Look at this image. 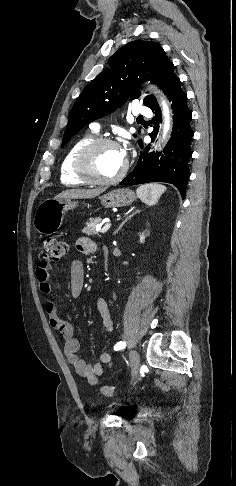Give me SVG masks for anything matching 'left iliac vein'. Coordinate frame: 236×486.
Returning a JSON list of instances; mask_svg holds the SVG:
<instances>
[{"instance_id": "4c4485c4", "label": "left iliac vein", "mask_w": 236, "mask_h": 486, "mask_svg": "<svg viewBox=\"0 0 236 486\" xmlns=\"http://www.w3.org/2000/svg\"><path fill=\"white\" fill-rule=\"evenodd\" d=\"M129 362H130V367L132 371V375L135 378L138 374L139 371V366H140V358L137 350L132 349L129 353Z\"/></svg>"}]
</instances>
